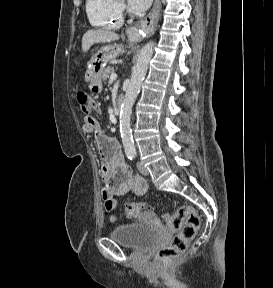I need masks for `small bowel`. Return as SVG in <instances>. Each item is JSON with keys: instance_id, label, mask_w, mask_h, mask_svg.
Listing matches in <instances>:
<instances>
[{"instance_id": "c3829d8e", "label": "small bowel", "mask_w": 273, "mask_h": 288, "mask_svg": "<svg viewBox=\"0 0 273 288\" xmlns=\"http://www.w3.org/2000/svg\"><path fill=\"white\" fill-rule=\"evenodd\" d=\"M82 129L86 133L94 132L96 144L103 160L101 175L106 185L101 191V196L106 209L108 211L114 209L115 198L118 196L130 192L137 196L145 194L147 191L146 181L140 176L132 175L118 143L102 130L98 119L91 115L85 116Z\"/></svg>"}]
</instances>
